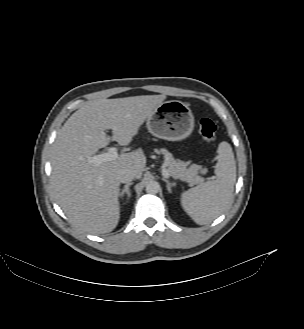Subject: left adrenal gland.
Here are the masks:
<instances>
[{"mask_svg": "<svg viewBox=\"0 0 304 329\" xmlns=\"http://www.w3.org/2000/svg\"><path fill=\"white\" fill-rule=\"evenodd\" d=\"M162 180H163L164 182H166L168 192H169V193H172L171 188L175 186V183H174V182H170L168 179H166V178H164V177L162 178Z\"/></svg>", "mask_w": 304, "mask_h": 329, "instance_id": "obj_1", "label": "left adrenal gland"}]
</instances>
